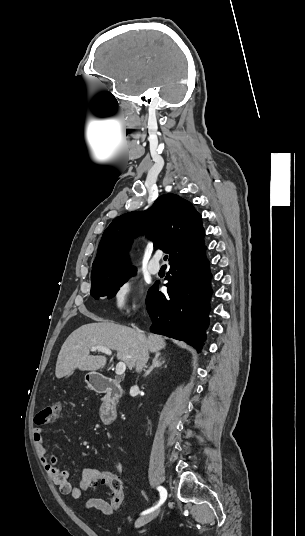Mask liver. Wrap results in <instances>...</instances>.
I'll list each match as a JSON object with an SVG mask.
<instances>
[{"label": "liver", "instance_id": "6515ba94", "mask_svg": "<svg viewBox=\"0 0 305 536\" xmlns=\"http://www.w3.org/2000/svg\"><path fill=\"white\" fill-rule=\"evenodd\" d=\"M95 320L98 324H85L65 340L56 362V378H65L77 368L90 374L104 368L107 360L105 356H90V348L94 346L116 350L118 360L125 362L129 370L135 368L142 348L158 352L166 346L162 336L148 334V338H145L144 334L127 326L110 324L102 318Z\"/></svg>", "mask_w": 305, "mask_h": 536}]
</instances>
